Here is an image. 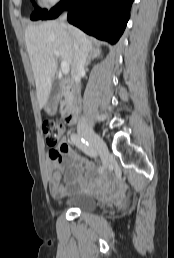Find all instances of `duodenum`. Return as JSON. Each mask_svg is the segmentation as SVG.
<instances>
[{
  "instance_id": "410a0bca",
  "label": "duodenum",
  "mask_w": 174,
  "mask_h": 258,
  "mask_svg": "<svg viewBox=\"0 0 174 258\" xmlns=\"http://www.w3.org/2000/svg\"><path fill=\"white\" fill-rule=\"evenodd\" d=\"M62 94L65 96L67 100L65 120L68 124H74L77 120L78 115L77 101L75 98V89L70 84H66L62 90Z\"/></svg>"
}]
</instances>
